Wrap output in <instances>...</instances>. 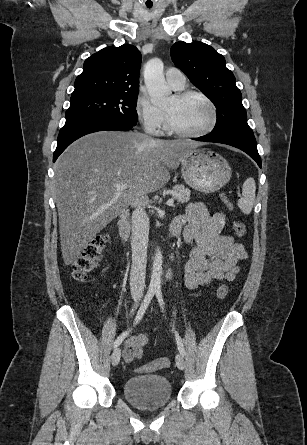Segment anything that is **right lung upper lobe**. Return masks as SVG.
<instances>
[{"label":"right lung upper lobe","mask_w":307,"mask_h":445,"mask_svg":"<svg viewBox=\"0 0 307 445\" xmlns=\"http://www.w3.org/2000/svg\"><path fill=\"white\" fill-rule=\"evenodd\" d=\"M140 64L133 45L104 48L85 60L72 96L138 93Z\"/></svg>","instance_id":"obj_1"}]
</instances>
